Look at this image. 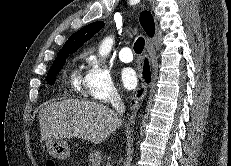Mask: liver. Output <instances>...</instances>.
Returning <instances> with one entry per match:
<instances>
[{"label":"liver","mask_w":231,"mask_h":166,"mask_svg":"<svg viewBox=\"0 0 231 166\" xmlns=\"http://www.w3.org/2000/svg\"><path fill=\"white\" fill-rule=\"evenodd\" d=\"M121 124L118 113L93 101L67 99L46 105L39 112L43 141L77 137L99 144Z\"/></svg>","instance_id":"1"}]
</instances>
